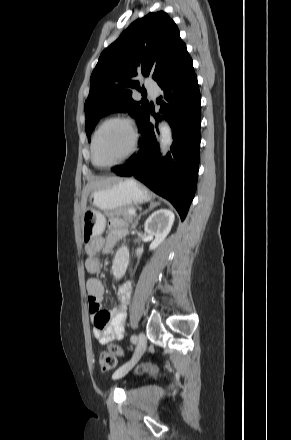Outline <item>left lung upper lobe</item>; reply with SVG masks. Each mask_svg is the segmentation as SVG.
Here are the masks:
<instances>
[{"mask_svg":"<svg viewBox=\"0 0 291 440\" xmlns=\"http://www.w3.org/2000/svg\"><path fill=\"white\" fill-rule=\"evenodd\" d=\"M186 52L175 22L165 12L134 21L101 53L92 72L84 106L87 136L101 117L115 111H128L140 128L149 104L132 99L135 90H143L136 76L152 75L159 83Z\"/></svg>","mask_w":291,"mask_h":440,"instance_id":"left-lung-upper-lobe-1","label":"left lung upper lobe"}]
</instances>
